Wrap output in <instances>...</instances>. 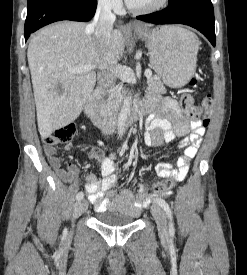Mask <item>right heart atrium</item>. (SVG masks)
Here are the masks:
<instances>
[{"instance_id":"obj_1","label":"right heart atrium","mask_w":247,"mask_h":275,"mask_svg":"<svg viewBox=\"0 0 247 275\" xmlns=\"http://www.w3.org/2000/svg\"><path fill=\"white\" fill-rule=\"evenodd\" d=\"M99 6L108 11H120L123 6L122 0H97Z\"/></svg>"}]
</instances>
